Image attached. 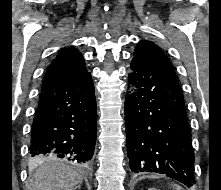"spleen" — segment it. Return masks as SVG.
I'll return each instance as SVG.
<instances>
[{"label": "spleen", "instance_id": "3e777b00", "mask_svg": "<svg viewBox=\"0 0 221 190\" xmlns=\"http://www.w3.org/2000/svg\"><path fill=\"white\" fill-rule=\"evenodd\" d=\"M176 187L177 190H184L182 189L181 187L177 186V185H174Z\"/></svg>", "mask_w": 221, "mask_h": 190}]
</instances>
